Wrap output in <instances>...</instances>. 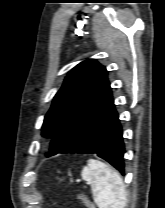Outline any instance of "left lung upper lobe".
<instances>
[{"mask_svg":"<svg viewBox=\"0 0 165 208\" xmlns=\"http://www.w3.org/2000/svg\"><path fill=\"white\" fill-rule=\"evenodd\" d=\"M111 95L104 66L95 59L75 66L56 93L44 119L42 135L52 138L47 156L65 153L84 123Z\"/></svg>","mask_w":165,"mask_h":208,"instance_id":"5c2ea615","label":"left lung upper lobe"}]
</instances>
